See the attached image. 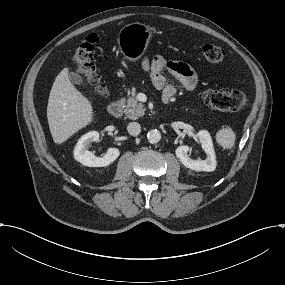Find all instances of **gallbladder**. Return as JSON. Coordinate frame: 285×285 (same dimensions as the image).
<instances>
[{
  "label": "gallbladder",
  "mask_w": 285,
  "mask_h": 285,
  "mask_svg": "<svg viewBox=\"0 0 285 285\" xmlns=\"http://www.w3.org/2000/svg\"><path fill=\"white\" fill-rule=\"evenodd\" d=\"M69 78L74 84L80 85L83 83V78L78 73H74V72L70 73Z\"/></svg>",
  "instance_id": "1"
}]
</instances>
